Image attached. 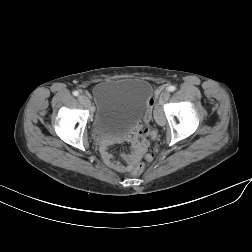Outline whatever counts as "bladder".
<instances>
[{
    "mask_svg": "<svg viewBox=\"0 0 252 252\" xmlns=\"http://www.w3.org/2000/svg\"><path fill=\"white\" fill-rule=\"evenodd\" d=\"M149 86L141 79L106 80L93 91L96 112L93 133L96 138H115L146 111Z\"/></svg>",
    "mask_w": 252,
    "mask_h": 252,
    "instance_id": "bladder-1",
    "label": "bladder"
}]
</instances>
